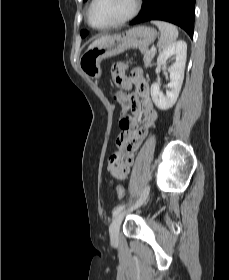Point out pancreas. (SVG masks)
I'll return each instance as SVG.
<instances>
[{"label":"pancreas","instance_id":"cf45deb5","mask_svg":"<svg viewBox=\"0 0 229 280\" xmlns=\"http://www.w3.org/2000/svg\"><path fill=\"white\" fill-rule=\"evenodd\" d=\"M141 53L144 54V57H143V61H144V65L146 67H148L153 59V57L155 56V53L156 52H151L150 50H143V49H140Z\"/></svg>","mask_w":229,"mask_h":280}]
</instances>
